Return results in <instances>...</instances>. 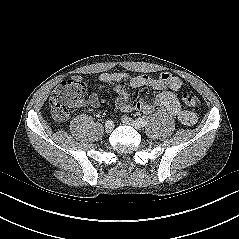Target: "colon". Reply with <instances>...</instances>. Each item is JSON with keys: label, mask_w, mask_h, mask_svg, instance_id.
Masks as SVG:
<instances>
[{"label": "colon", "mask_w": 239, "mask_h": 239, "mask_svg": "<svg viewBox=\"0 0 239 239\" xmlns=\"http://www.w3.org/2000/svg\"><path fill=\"white\" fill-rule=\"evenodd\" d=\"M85 93V84L78 79H68L61 82L52 92L49 105L54 121L64 122L81 103ZM183 103L190 107L199 106V99L192 91L182 93Z\"/></svg>", "instance_id": "1"}]
</instances>
